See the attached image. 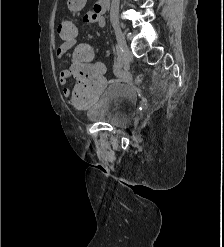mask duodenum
<instances>
[{"instance_id":"1","label":"duodenum","mask_w":224,"mask_h":247,"mask_svg":"<svg viewBox=\"0 0 224 247\" xmlns=\"http://www.w3.org/2000/svg\"><path fill=\"white\" fill-rule=\"evenodd\" d=\"M109 0H99L96 4V10L98 12H104L107 8Z\"/></svg>"}]
</instances>
